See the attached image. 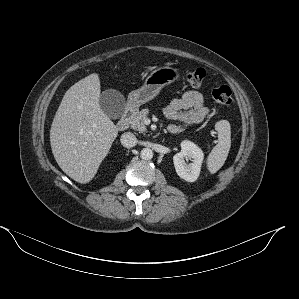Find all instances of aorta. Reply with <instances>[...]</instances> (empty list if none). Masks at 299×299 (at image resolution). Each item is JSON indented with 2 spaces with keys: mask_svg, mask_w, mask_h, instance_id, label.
I'll list each match as a JSON object with an SVG mask.
<instances>
[{
  "mask_svg": "<svg viewBox=\"0 0 299 299\" xmlns=\"http://www.w3.org/2000/svg\"><path fill=\"white\" fill-rule=\"evenodd\" d=\"M140 157L143 160H150L153 158V151L150 148H143L140 152Z\"/></svg>",
  "mask_w": 299,
  "mask_h": 299,
  "instance_id": "1",
  "label": "aorta"
}]
</instances>
